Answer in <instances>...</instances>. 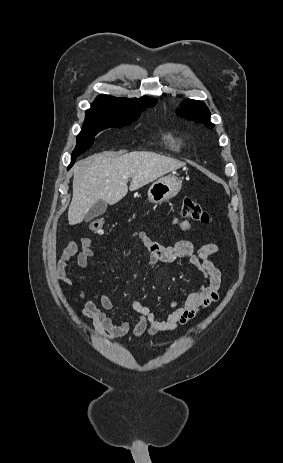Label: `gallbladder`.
<instances>
[{"mask_svg":"<svg viewBox=\"0 0 283 463\" xmlns=\"http://www.w3.org/2000/svg\"><path fill=\"white\" fill-rule=\"evenodd\" d=\"M107 203L103 200L97 201L85 215V221H91L94 218L103 215L106 212Z\"/></svg>","mask_w":283,"mask_h":463,"instance_id":"obj_1","label":"gallbladder"}]
</instances>
